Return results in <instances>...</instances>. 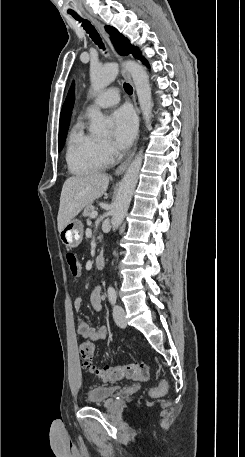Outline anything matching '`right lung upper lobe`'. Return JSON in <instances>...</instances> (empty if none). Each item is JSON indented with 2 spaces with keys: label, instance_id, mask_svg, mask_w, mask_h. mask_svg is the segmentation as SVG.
I'll return each instance as SVG.
<instances>
[{
  "label": "right lung upper lobe",
  "instance_id": "obj_1",
  "mask_svg": "<svg viewBox=\"0 0 245 457\" xmlns=\"http://www.w3.org/2000/svg\"><path fill=\"white\" fill-rule=\"evenodd\" d=\"M74 101H75L74 84H72L69 94L67 96V99L62 107V111L60 114L59 129L69 126Z\"/></svg>",
  "mask_w": 245,
  "mask_h": 457
}]
</instances>
